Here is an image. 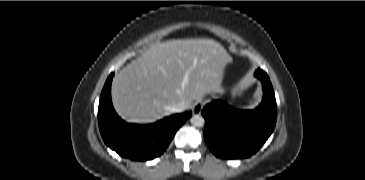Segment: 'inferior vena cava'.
Segmentation results:
<instances>
[{
    "label": "inferior vena cava",
    "instance_id": "obj_1",
    "mask_svg": "<svg viewBox=\"0 0 365 180\" xmlns=\"http://www.w3.org/2000/svg\"><path fill=\"white\" fill-rule=\"evenodd\" d=\"M186 109V105L184 102H180L178 104H176L174 107H171L170 110L172 112H182Z\"/></svg>",
    "mask_w": 365,
    "mask_h": 180
}]
</instances>
